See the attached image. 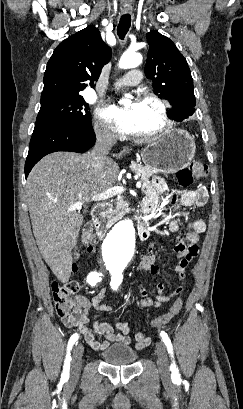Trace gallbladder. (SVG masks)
Masks as SVG:
<instances>
[{
	"instance_id": "1",
	"label": "gallbladder",
	"mask_w": 243,
	"mask_h": 409,
	"mask_svg": "<svg viewBox=\"0 0 243 409\" xmlns=\"http://www.w3.org/2000/svg\"><path fill=\"white\" fill-rule=\"evenodd\" d=\"M76 257H78V254L75 252Z\"/></svg>"
}]
</instances>
